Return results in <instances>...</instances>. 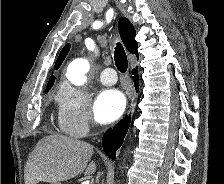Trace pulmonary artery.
<instances>
[{
	"mask_svg": "<svg viewBox=\"0 0 224 184\" xmlns=\"http://www.w3.org/2000/svg\"><path fill=\"white\" fill-rule=\"evenodd\" d=\"M100 81L106 86L114 85L117 82V75L113 68H106L100 74Z\"/></svg>",
	"mask_w": 224,
	"mask_h": 184,
	"instance_id": "e3ab8cb5",
	"label": "pulmonary artery"
}]
</instances>
